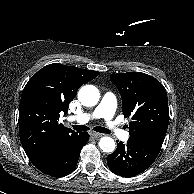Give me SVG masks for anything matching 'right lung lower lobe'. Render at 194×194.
<instances>
[{"mask_svg":"<svg viewBox=\"0 0 194 194\" xmlns=\"http://www.w3.org/2000/svg\"><path fill=\"white\" fill-rule=\"evenodd\" d=\"M87 132H76L55 142L33 165L52 177H63L76 167L82 147L88 142Z\"/></svg>","mask_w":194,"mask_h":194,"instance_id":"right-lung-lower-lobe-1","label":"right lung lower lobe"}]
</instances>
